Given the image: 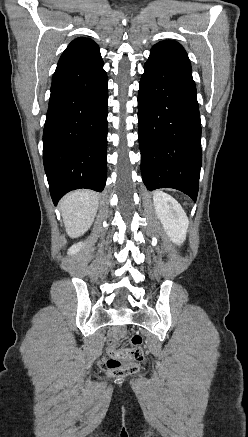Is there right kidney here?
I'll return each mask as SVG.
<instances>
[{
    "instance_id": "ca27d5eb",
    "label": "right kidney",
    "mask_w": 248,
    "mask_h": 437,
    "mask_svg": "<svg viewBox=\"0 0 248 437\" xmlns=\"http://www.w3.org/2000/svg\"><path fill=\"white\" fill-rule=\"evenodd\" d=\"M83 244L80 242L78 244H74L73 246H71L68 250V254L69 255H74L77 254L80 249L82 248Z\"/></svg>"
}]
</instances>
